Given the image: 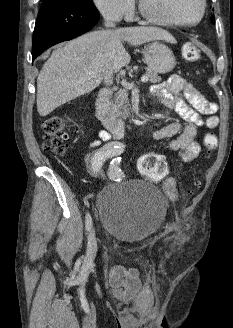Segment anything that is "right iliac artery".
<instances>
[{"label": "right iliac artery", "mask_w": 233, "mask_h": 328, "mask_svg": "<svg viewBox=\"0 0 233 328\" xmlns=\"http://www.w3.org/2000/svg\"><path fill=\"white\" fill-rule=\"evenodd\" d=\"M123 152V145L120 143H111L105 145L100 150L92 153L88 159V166L92 172V174H98L100 169L105 162V160L112 158L114 156H118ZM86 229L90 231L92 226V219L89 213L86 214L85 219Z\"/></svg>", "instance_id": "right-iliac-artery-1"}]
</instances>
